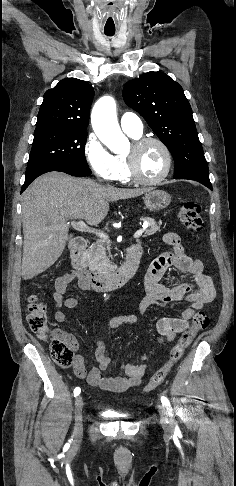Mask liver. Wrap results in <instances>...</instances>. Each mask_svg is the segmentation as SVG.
<instances>
[{"instance_id": "obj_1", "label": "liver", "mask_w": 236, "mask_h": 486, "mask_svg": "<svg viewBox=\"0 0 236 486\" xmlns=\"http://www.w3.org/2000/svg\"><path fill=\"white\" fill-rule=\"evenodd\" d=\"M149 191L103 186L61 172L37 178L22 195V278L32 279L58 260L73 236L69 234L68 219H84L89 225H98L108 214L110 201Z\"/></svg>"}]
</instances>
